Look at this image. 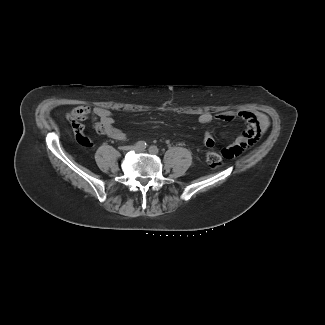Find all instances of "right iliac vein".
<instances>
[{
	"label": "right iliac vein",
	"instance_id": "obj_1",
	"mask_svg": "<svg viewBox=\"0 0 325 325\" xmlns=\"http://www.w3.org/2000/svg\"><path fill=\"white\" fill-rule=\"evenodd\" d=\"M137 147L134 146H125L123 147V150H135Z\"/></svg>",
	"mask_w": 325,
	"mask_h": 325
}]
</instances>
